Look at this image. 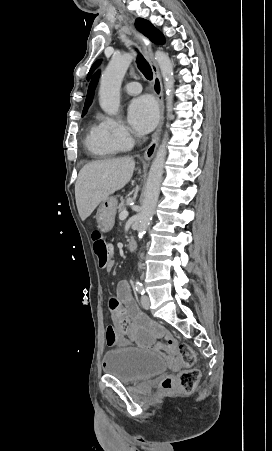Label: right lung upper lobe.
I'll return each mask as SVG.
<instances>
[{
    "instance_id": "cb5924a9",
    "label": "right lung upper lobe",
    "mask_w": 272,
    "mask_h": 451,
    "mask_svg": "<svg viewBox=\"0 0 272 451\" xmlns=\"http://www.w3.org/2000/svg\"><path fill=\"white\" fill-rule=\"evenodd\" d=\"M99 74H100V72L98 71L94 75L93 80L89 86L84 108H88L92 103L93 96H94V90H95L96 84L98 82Z\"/></svg>"
}]
</instances>
